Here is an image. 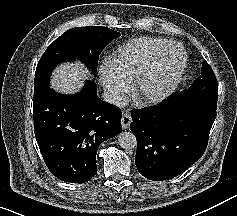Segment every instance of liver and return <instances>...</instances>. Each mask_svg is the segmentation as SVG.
<instances>
[{
    "label": "liver",
    "instance_id": "obj_1",
    "mask_svg": "<svg viewBox=\"0 0 237 216\" xmlns=\"http://www.w3.org/2000/svg\"><path fill=\"white\" fill-rule=\"evenodd\" d=\"M87 71L84 65L65 63L55 69L50 81L51 88L64 94H74L84 86Z\"/></svg>",
    "mask_w": 237,
    "mask_h": 216
}]
</instances>
